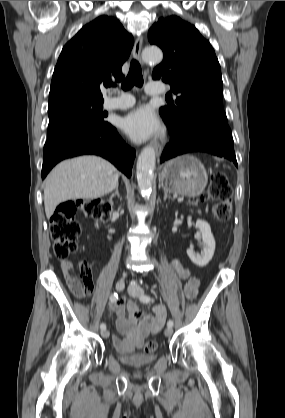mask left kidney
<instances>
[{"mask_svg": "<svg viewBox=\"0 0 285 418\" xmlns=\"http://www.w3.org/2000/svg\"><path fill=\"white\" fill-rule=\"evenodd\" d=\"M196 227L202 236L203 251L201 254L195 253L193 248L187 250V255L191 261L199 267L206 266L212 259L215 251V239L211 232V227L208 222L198 219L196 221Z\"/></svg>", "mask_w": 285, "mask_h": 418, "instance_id": "1", "label": "left kidney"}]
</instances>
